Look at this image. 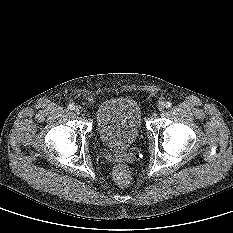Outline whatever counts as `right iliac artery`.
Masks as SVG:
<instances>
[{"label":"right iliac artery","instance_id":"82829eb1","mask_svg":"<svg viewBox=\"0 0 233 233\" xmlns=\"http://www.w3.org/2000/svg\"><path fill=\"white\" fill-rule=\"evenodd\" d=\"M75 108L74 104H69L68 109L73 110Z\"/></svg>","mask_w":233,"mask_h":233}]
</instances>
